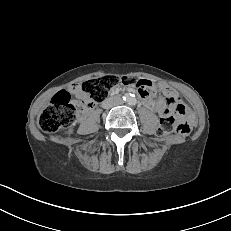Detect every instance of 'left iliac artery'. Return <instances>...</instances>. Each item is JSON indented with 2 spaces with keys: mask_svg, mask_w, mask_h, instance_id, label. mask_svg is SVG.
I'll return each mask as SVG.
<instances>
[{
  "mask_svg": "<svg viewBox=\"0 0 231 231\" xmlns=\"http://www.w3.org/2000/svg\"><path fill=\"white\" fill-rule=\"evenodd\" d=\"M129 103L131 104V105H136L137 104V100H136V98H131L130 99V101H129Z\"/></svg>",
  "mask_w": 231,
  "mask_h": 231,
  "instance_id": "obj_1",
  "label": "left iliac artery"
}]
</instances>
